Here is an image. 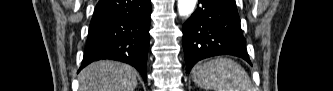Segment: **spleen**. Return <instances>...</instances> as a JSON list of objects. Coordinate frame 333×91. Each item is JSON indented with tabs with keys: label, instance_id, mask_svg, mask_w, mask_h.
<instances>
[{
	"label": "spleen",
	"instance_id": "3e777b00",
	"mask_svg": "<svg viewBox=\"0 0 333 91\" xmlns=\"http://www.w3.org/2000/svg\"><path fill=\"white\" fill-rule=\"evenodd\" d=\"M194 83L213 91H253L247 72L232 59L216 58L192 69Z\"/></svg>",
	"mask_w": 333,
	"mask_h": 91
}]
</instances>
